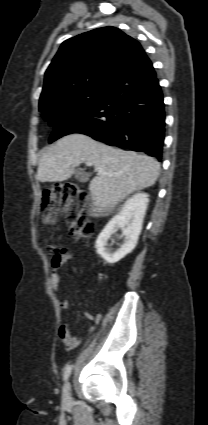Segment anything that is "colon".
<instances>
[{
	"mask_svg": "<svg viewBox=\"0 0 208 425\" xmlns=\"http://www.w3.org/2000/svg\"><path fill=\"white\" fill-rule=\"evenodd\" d=\"M88 193L72 182L57 183L48 188L44 193L41 214L46 224L57 220L61 207H66V221L69 233L75 239L87 238L93 234L94 226L85 217V206ZM47 252L53 256V263L58 265L63 250L53 244L46 246Z\"/></svg>",
	"mask_w": 208,
	"mask_h": 425,
	"instance_id": "colon-1",
	"label": "colon"
}]
</instances>
